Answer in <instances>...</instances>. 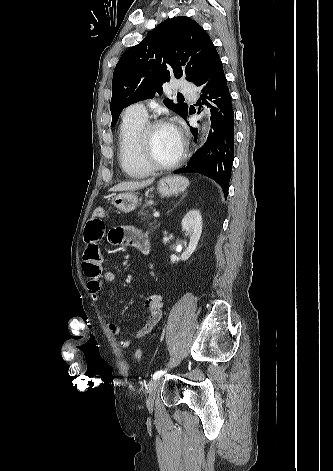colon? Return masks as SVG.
<instances>
[{
    "mask_svg": "<svg viewBox=\"0 0 333 471\" xmlns=\"http://www.w3.org/2000/svg\"><path fill=\"white\" fill-rule=\"evenodd\" d=\"M104 213H105V211H104V209H103L102 207H97V208H95V209L93 210L92 216H93V217H96V218H99V217L104 216ZM134 356H135V358L138 359V360L141 359L142 356H143V351H142V349H140V348L136 349V350H135V353H134Z\"/></svg>",
    "mask_w": 333,
    "mask_h": 471,
    "instance_id": "1",
    "label": "colon"
}]
</instances>
